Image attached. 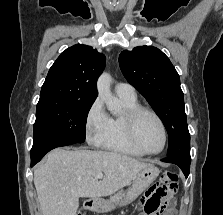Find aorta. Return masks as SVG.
Returning <instances> with one entry per match:
<instances>
[{
	"label": "aorta",
	"instance_id": "762f6f07",
	"mask_svg": "<svg viewBox=\"0 0 223 215\" xmlns=\"http://www.w3.org/2000/svg\"><path fill=\"white\" fill-rule=\"evenodd\" d=\"M112 84V78L107 72H103L97 82L98 98L104 100L106 106L110 111H116L118 108L119 100L112 96L110 86Z\"/></svg>",
	"mask_w": 223,
	"mask_h": 215
}]
</instances>
